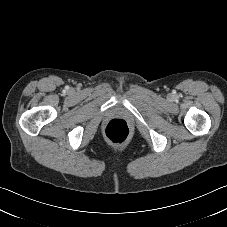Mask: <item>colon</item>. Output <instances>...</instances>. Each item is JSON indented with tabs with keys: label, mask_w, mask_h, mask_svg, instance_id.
<instances>
[{
	"label": "colon",
	"mask_w": 227,
	"mask_h": 227,
	"mask_svg": "<svg viewBox=\"0 0 227 227\" xmlns=\"http://www.w3.org/2000/svg\"><path fill=\"white\" fill-rule=\"evenodd\" d=\"M105 136L111 142H124L130 136L129 126L122 119H112L106 125Z\"/></svg>",
	"instance_id": "obj_1"
}]
</instances>
